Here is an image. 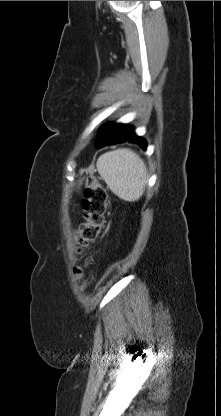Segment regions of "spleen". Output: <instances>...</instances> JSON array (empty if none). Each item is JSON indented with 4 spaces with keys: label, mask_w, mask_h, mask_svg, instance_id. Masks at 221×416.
I'll return each instance as SVG.
<instances>
[{
    "label": "spleen",
    "mask_w": 221,
    "mask_h": 416,
    "mask_svg": "<svg viewBox=\"0 0 221 416\" xmlns=\"http://www.w3.org/2000/svg\"><path fill=\"white\" fill-rule=\"evenodd\" d=\"M98 172L111 191L125 201H137L144 192L147 169L138 154L120 148L102 154L96 163Z\"/></svg>",
    "instance_id": "obj_1"
}]
</instances>
